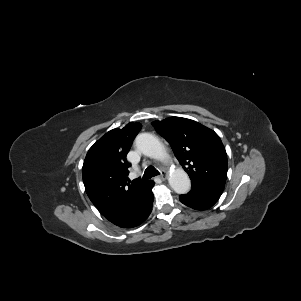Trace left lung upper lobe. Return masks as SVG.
I'll list each match as a JSON object with an SVG mask.
<instances>
[{
    "label": "left lung upper lobe",
    "mask_w": 301,
    "mask_h": 301,
    "mask_svg": "<svg viewBox=\"0 0 301 301\" xmlns=\"http://www.w3.org/2000/svg\"><path fill=\"white\" fill-rule=\"evenodd\" d=\"M171 145L192 184L223 191L227 177V154L219 136L200 123L181 117L152 122Z\"/></svg>",
    "instance_id": "5c2ea615"
}]
</instances>
